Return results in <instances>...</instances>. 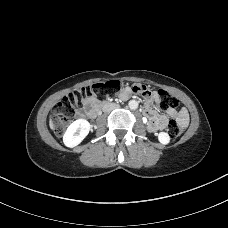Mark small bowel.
<instances>
[{"label": "small bowel", "mask_w": 228, "mask_h": 228, "mask_svg": "<svg viewBox=\"0 0 228 228\" xmlns=\"http://www.w3.org/2000/svg\"><path fill=\"white\" fill-rule=\"evenodd\" d=\"M130 94H131L130 88L126 87L120 91L119 96L122 99L126 100L130 97ZM145 100H146V104L144 106V111L150 117H154V118H157L159 120V124L155 126V130L164 129L168 124L167 118L165 116L156 115L155 112L153 111L152 107H151L154 102L158 101L157 94H155V93L151 94V96L147 97ZM97 103H98V98L95 95L88 96L85 100L84 109L78 111L77 116L78 117H84L85 115H88V113L95 107V105ZM168 115L170 117L175 118L177 120V122L179 124H181L183 127H185L188 124L189 116H188L187 111L183 108L179 109V110L171 109L168 111ZM155 130H150V131H155Z\"/></svg>", "instance_id": "small-bowel-1"}]
</instances>
